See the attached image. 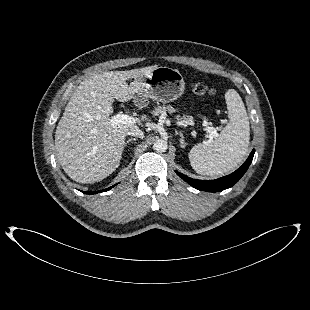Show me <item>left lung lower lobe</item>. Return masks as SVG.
I'll return each instance as SVG.
<instances>
[{
	"label": "left lung lower lobe",
	"mask_w": 310,
	"mask_h": 310,
	"mask_svg": "<svg viewBox=\"0 0 310 310\" xmlns=\"http://www.w3.org/2000/svg\"><path fill=\"white\" fill-rule=\"evenodd\" d=\"M254 153H255V150H252L248 159L238 170H236L230 175L224 176L216 180H197V179H192L186 175H183L182 173L178 171H176V173L184 181H186L188 184H190L191 186H193L194 188L198 190L208 191V192L223 191L224 189L232 187L245 174V172L247 171L248 167L250 166L252 162Z\"/></svg>",
	"instance_id": "1"
}]
</instances>
